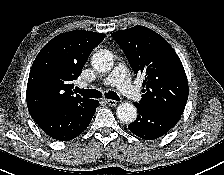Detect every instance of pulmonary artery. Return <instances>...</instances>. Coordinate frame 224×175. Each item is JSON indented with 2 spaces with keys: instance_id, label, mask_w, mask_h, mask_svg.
Returning a JSON list of instances; mask_svg holds the SVG:
<instances>
[{
  "instance_id": "e3ab8cb5",
  "label": "pulmonary artery",
  "mask_w": 224,
  "mask_h": 175,
  "mask_svg": "<svg viewBox=\"0 0 224 175\" xmlns=\"http://www.w3.org/2000/svg\"><path fill=\"white\" fill-rule=\"evenodd\" d=\"M103 84L116 86L124 96L133 101H139L141 99V92L131 83L124 65L116 66L112 73L104 80ZM86 86L84 83L81 84V87Z\"/></svg>"
}]
</instances>
